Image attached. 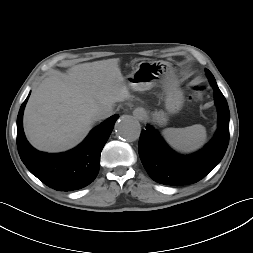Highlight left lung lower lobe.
Listing matches in <instances>:
<instances>
[{"instance_id":"1","label":"left lung lower lobe","mask_w":253,"mask_h":253,"mask_svg":"<svg viewBox=\"0 0 253 253\" xmlns=\"http://www.w3.org/2000/svg\"><path fill=\"white\" fill-rule=\"evenodd\" d=\"M213 89L218 107V129L214 138L199 152L178 155L151 126L142 131L139 156L154 181L173 186L193 184L204 178L223 158L229 142L230 113L218 86Z\"/></svg>"}]
</instances>
